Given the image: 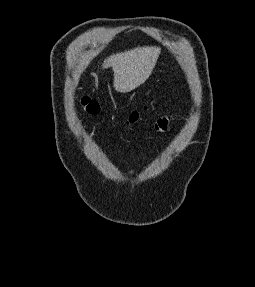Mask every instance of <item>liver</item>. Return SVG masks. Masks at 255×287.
Segmentation results:
<instances>
[{
  "instance_id": "obj_1",
  "label": "liver",
  "mask_w": 255,
  "mask_h": 287,
  "mask_svg": "<svg viewBox=\"0 0 255 287\" xmlns=\"http://www.w3.org/2000/svg\"><path fill=\"white\" fill-rule=\"evenodd\" d=\"M160 48L144 46L114 54L104 60L102 68H113L116 92H131L151 76L159 58Z\"/></svg>"
}]
</instances>
